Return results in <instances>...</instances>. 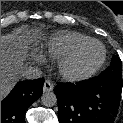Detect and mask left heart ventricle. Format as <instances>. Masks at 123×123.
Listing matches in <instances>:
<instances>
[{"label": "left heart ventricle", "mask_w": 123, "mask_h": 123, "mask_svg": "<svg viewBox=\"0 0 123 123\" xmlns=\"http://www.w3.org/2000/svg\"><path fill=\"white\" fill-rule=\"evenodd\" d=\"M100 56L101 48L96 44L90 45L75 60V62L72 65V68L77 71L87 69L93 63H95L100 58Z\"/></svg>", "instance_id": "left-heart-ventricle-1"}]
</instances>
